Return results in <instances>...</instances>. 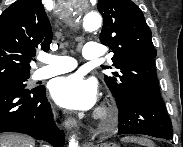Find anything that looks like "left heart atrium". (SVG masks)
<instances>
[{"label":"left heart atrium","instance_id":"1","mask_svg":"<svg viewBox=\"0 0 183 147\" xmlns=\"http://www.w3.org/2000/svg\"><path fill=\"white\" fill-rule=\"evenodd\" d=\"M50 92L57 104L75 110L91 108L97 98L94 81L86 79L80 74H71L55 79Z\"/></svg>","mask_w":183,"mask_h":147}]
</instances>
